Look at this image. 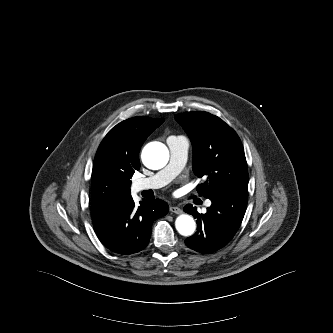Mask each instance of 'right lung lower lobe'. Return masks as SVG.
<instances>
[{"label": "right lung lower lobe", "instance_id": "1", "mask_svg": "<svg viewBox=\"0 0 333 333\" xmlns=\"http://www.w3.org/2000/svg\"><path fill=\"white\" fill-rule=\"evenodd\" d=\"M168 211V204L160 199L140 201L137 207L131 196L117 204L91 209L99 240L119 254L143 250L149 243L153 222Z\"/></svg>", "mask_w": 333, "mask_h": 333}]
</instances>
